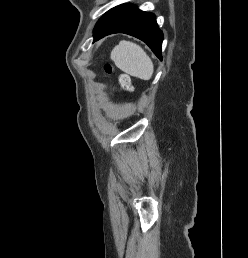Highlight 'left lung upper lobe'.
<instances>
[{"label":"left lung upper lobe","mask_w":248,"mask_h":258,"mask_svg":"<svg viewBox=\"0 0 248 258\" xmlns=\"http://www.w3.org/2000/svg\"><path fill=\"white\" fill-rule=\"evenodd\" d=\"M122 5L120 6H116L114 8H112L111 10H109L106 14H104L97 22V24H99L102 20H104L106 17H108L110 14H112L114 11H116L118 8H120ZM96 24V25H97Z\"/></svg>","instance_id":"obj_1"}]
</instances>
